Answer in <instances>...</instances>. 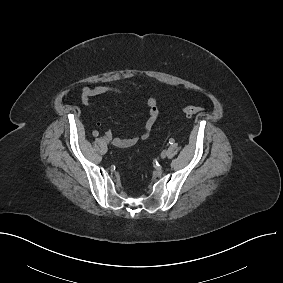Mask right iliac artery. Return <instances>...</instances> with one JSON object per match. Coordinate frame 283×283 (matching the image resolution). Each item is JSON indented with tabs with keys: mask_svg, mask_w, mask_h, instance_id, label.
<instances>
[{
	"mask_svg": "<svg viewBox=\"0 0 283 283\" xmlns=\"http://www.w3.org/2000/svg\"><path fill=\"white\" fill-rule=\"evenodd\" d=\"M92 135H93L94 137H97V136L99 135V132H98L97 130H94V131L92 132Z\"/></svg>",
	"mask_w": 283,
	"mask_h": 283,
	"instance_id": "right-iliac-artery-1",
	"label": "right iliac artery"
}]
</instances>
